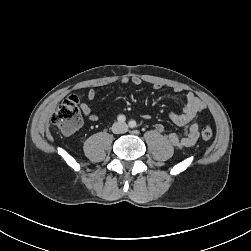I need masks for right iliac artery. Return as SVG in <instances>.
<instances>
[{"label": "right iliac artery", "instance_id": "obj_1", "mask_svg": "<svg viewBox=\"0 0 251 251\" xmlns=\"http://www.w3.org/2000/svg\"><path fill=\"white\" fill-rule=\"evenodd\" d=\"M117 120L120 122V123H124L126 121V117L124 115H119L117 117Z\"/></svg>", "mask_w": 251, "mask_h": 251}]
</instances>
